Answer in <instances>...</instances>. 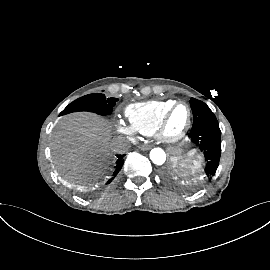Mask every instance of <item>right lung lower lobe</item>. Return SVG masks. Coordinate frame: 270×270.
<instances>
[{"label":"right lung lower lobe","mask_w":270,"mask_h":270,"mask_svg":"<svg viewBox=\"0 0 270 270\" xmlns=\"http://www.w3.org/2000/svg\"><path fill=\"white\" fill-rule=\"evenodd\" d=\"M117 157H118V160H117V162H116V170L114 171V173H113V175L114 176H116L117 174H118V172L120 171V169H121V167H122V165H123V157H124V155H117ZM113 180V178H111L108 182H107V184H109L111 181Z\"/></svg>","instance_id":"right-lung-lower-lobe-1"}]
</instances>
